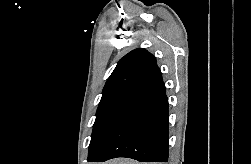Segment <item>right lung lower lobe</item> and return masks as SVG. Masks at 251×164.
<instances>
[{"label": "right lung lower lobe", "mask_w": 251, "mask_h": 164, "mask_svg": "<svg viewBox=\"0 0 251 164\" xmlns=\"http://www.w3.org/2000/svg\"><path fill=\"white\" fill-rule=\"evenodd\" d=\"M114 121L89 162L127 157L140 162L168 160V99L164 82L141 90Z\"/></svg>", "instance_id": "98d812e1"}]
</instances>
